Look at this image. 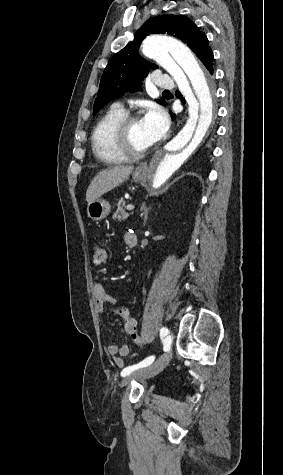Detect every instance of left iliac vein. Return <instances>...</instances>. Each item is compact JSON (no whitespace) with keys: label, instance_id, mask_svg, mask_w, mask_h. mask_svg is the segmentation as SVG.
Masks as SVG:
<instances>
[{"label":"left iliac vein","instance_id":"1","mask_svg":"<svg viewBox=\"0 0 283 475\" xmlns=\"http://www.w3.org/2000/svg\"><path fill=\"white\" fill-rule=\"evenodd\" d=\"M166 341L170 344L172 341V336L168 335ZM171 357L172 355L170 351L162 354L159 358H157L154 363L150 364L148 367L125 376L120 383V387H125L129 385L134 379L144 380L154 377L168 365L171 360Z\"/></svg>","mask_w":283,"mask_h":475}]
</instances>
